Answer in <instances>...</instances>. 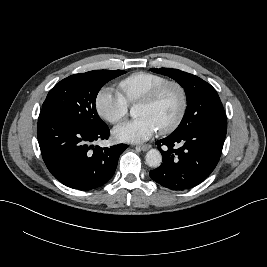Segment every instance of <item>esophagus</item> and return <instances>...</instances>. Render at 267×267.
I'll use <instances>...</instances> for the list:
<instances>
[{"mask_svg": "<svg viewBox=\"0 0 267 267\" xmlns=\"http://www.w3.org/2000/svg\"><path fill=\"white\" fill-rule=\"evenodd\" d=\"M151 146L148 144L145 145H139L137 146L138 149L142 150V151H147Z\"/></svg>", "mask_w": 267, "mask_h": 267, "instance_id": "1", "label": "esophagus"}]
</instances>
